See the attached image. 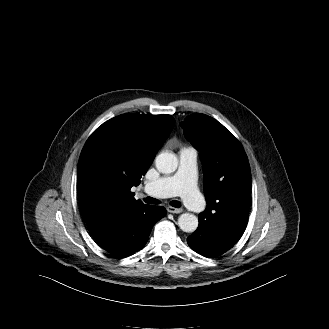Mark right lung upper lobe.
Segmentation results:
<instances>
[{
    "label": "right lung upper lobe",
    "instance_id": "right-lung-upper-lobe-1",
    "mask_svg": "<svg viewBox=\"0 0 329 329\" xmlns=\"http://www.w3.org/2000/svg\"><path fill=\"white\" fill-rule=\"evenodd\" d=\"M171 115L123 114L98 127L86 141L77 168L85 221L111 209L144 205L138 186L174 126Z\"/></svg>",
    "mask_w": 329,
    "mask_h": 329
}]
</instances>
